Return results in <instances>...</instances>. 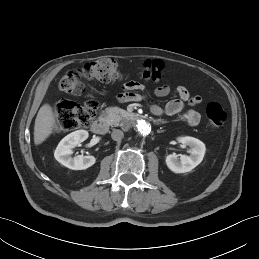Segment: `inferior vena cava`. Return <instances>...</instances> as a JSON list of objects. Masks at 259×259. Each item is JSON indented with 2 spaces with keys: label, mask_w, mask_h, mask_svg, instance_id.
Here are the masks:
<instances>
[{
  "label": "inferior vena cava",
  "mask_w": 259,
  "mask_h": 259,
  "mask_svg": "<svg viewBox=\"0 0 259 259\" xmlns=\"http://www.w3.org/2000/svg\"><path fill=\"white\" fill-rule=\"evenodd\" d=\"M111 137L114 141H120L124 137V133L119 129H114L112 131Z\"/></svg>",
  "instance_id": "inferior-vena-cava-1"
}]
</instances>
